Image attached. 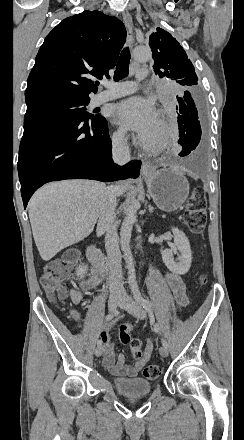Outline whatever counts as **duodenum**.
I'll return each instance as SVG.
<instances>
[{
  "label": "duodenum",
  "mask_w": 244,
  "mask_h": 440,
  "mask_svg": "<svg viewBox=\"0 0 244 440\" xmlns=\"http://www.w3.org/2000/svg\"><path fill=\"white\" fill-rule=\"evenodd\" d=\"M87 258L96 269L102 270L104 272L103 269L106 267L107 258L94 245H91L89 247Z\"/></svg>",
  "instance_id": "obj_1"
}]
</instances>
